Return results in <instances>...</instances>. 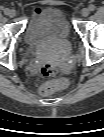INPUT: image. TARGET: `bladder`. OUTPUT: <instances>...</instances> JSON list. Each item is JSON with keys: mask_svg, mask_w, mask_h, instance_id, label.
Instances as JSON below:
<instances>
[{"mask_svg": "<svg viewBox=\"0 0 104 137\" xmlns=\"http://www.w3.org/2000/svg\"><path fill=\"white\" fill-rule=\"evenodd\" d=\"M44 23L34 27L31 21L25 29L24 41L30 54L46 60H55L69 53L72 35L68 21L62 11L48 7L39 14Z\"/></svg>", "mask_w": 104, "mask_h": 137, "instance_id": "bladder-1", "label": "bladder"}]
</instances>
